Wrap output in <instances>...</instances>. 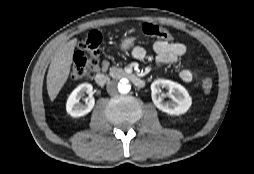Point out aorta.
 I'll list each match as a JSON object with an SVG mask.
<instances>
[{
    "label": "aorta",
    "instance_id": "762f6f07",
    "mask_svg": "<svg viewBox=\"0 0 254 174\" xmlns=\"http://www.w3.org/2000/svg\"><path fill=\"white\" fill-rule=\"evenodd\" d=\"M131 90V85L128 79H121L118 83V91L122 94H126Z\"/></svg>",
    "mask_w": 254,
    "mask_h": 174
}]
</instances>
